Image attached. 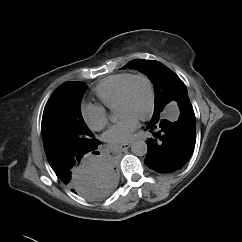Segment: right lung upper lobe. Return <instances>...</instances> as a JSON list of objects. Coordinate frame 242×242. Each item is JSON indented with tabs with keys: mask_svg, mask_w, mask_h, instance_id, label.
Returning <instances> with one entry per match:
<instances>
[{
	"mask_svg": "<svg viewBox=\"0 0 242 242\" xmlns=\"http://www.w3.org/2000/svg\"><path fill=\"white\" fill-rule=\"evenodd\" d=\"M74 82H75V81H74ZM70 84H72V82L64 83V84H62V85L60 86V88L66 87V86H68V85H70Z\"/></svg>",
	"mask_w": 242,
	"mask_h": 242,
	"instance_id": "1",
	"label": "right lung upper lobe"
}]
</instances>
